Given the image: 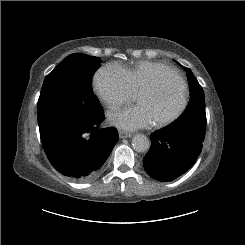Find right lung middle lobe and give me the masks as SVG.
Instances as JSON below:
<instances>
[{
  "instance_id": "1",
  "label": "right lung middle lobe",
  "mask_w": 245,
  "mask_h": 245,
  "mask_svg": "<svg viewBox=\"0 0 245 245\" xmlns=\"http://www.w3.org/2000/svg\"><path fill=\"white\" fill-rule=\"evenodd\" d=\"M99 66L97 57L74 53L46 76L37 104L40 136L58 126L85 123L102 113L91 91Z\"/></svg>"
}]
</instances>
